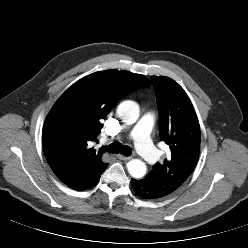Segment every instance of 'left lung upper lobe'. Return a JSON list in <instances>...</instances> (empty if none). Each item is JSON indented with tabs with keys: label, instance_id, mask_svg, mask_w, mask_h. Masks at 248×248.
I'll list each match as a JSON object with an SVG mask.
<instances>
[{
	"label": "left lung upper lobe",
	"instance_id": "5c2ea615",
	"mask_svg": "<svg viewBox=\"0 0 248 248\" xmlns=\"http://www.w3.org/2000/svg\"><path fill=\"white\" fill-rule=\"evenodd\" d=\"M159 109V134L171 157L157 163L144 178L165 196L178 189L193 172L200 152V125L184 89L174 80L152 76Z\"/></svg>",
	"mask_w": 248,
	"mask_h": 248
}]
</instances>
